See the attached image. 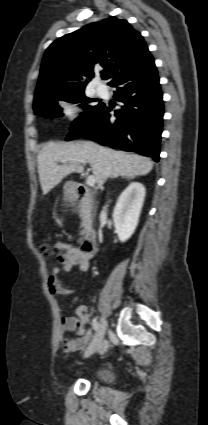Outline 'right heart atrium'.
I'll list each match as a JSON object with an SVG mask.
<instances>
[{
	"label": "right heart atrium",
	"instance_id": "1",
	"mask_svg": "<svg viewBox=\"0 0 208 425\" xmlns=\"http://www.w3.org/2000/svg\"><path fill=\"white\" fill-rule=\"evenodd\" d=\"M64 114L68 118H74L76 116V110L73 107H65Z\"/></svg>",
	"mask_w": 208,
	"mask_h": 425
}]
</instances>
